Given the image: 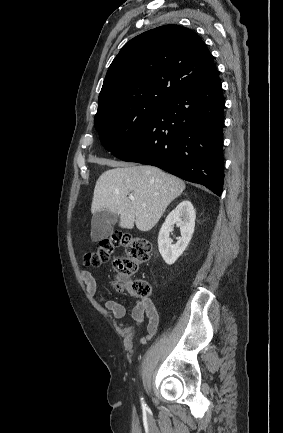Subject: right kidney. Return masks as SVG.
Instances as JSON below:
<instances>
[{
    "mask_svg": "<svg viewBox=\"0 0 283 433\" xmlns=\"http://www.w3.org/2000/svg\"><path fill=\"white\" fill-rule=\"evenodd\" d=\"M195 219V209L188 200L178 204L166 217L158 235V248L168 265L175 263L187 248L194 232ZM175 223L180 226L181 237L176 244H172L169 232Z\"/></svg>",
    "mask_w": 283,
    "mask_h": 433,
    "instance_id": "ca27d5eb",
    "label": "right kidney"
}]
</instances>
